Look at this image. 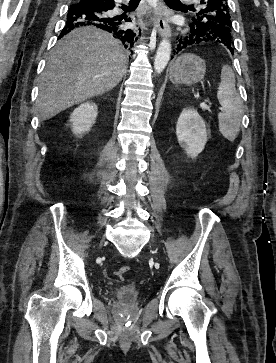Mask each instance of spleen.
I'll return each mask as SVG.
<instances>
[{"instance_id": "3e777b00", "label": "spleen", "mask_w": 276, "mask_h": 363, "mask_svg": "<svg viewBox=\"0 0 276 363\" xmlns=\"http://www.w3.org/2000/svg\"><path fill=\"white\" fill-rule=\"evenodd\" d=\"M235 74L230 66L223 65L217 98L221 105L218 114L219 131L224 138L234 141L240 131L242 100L235 87Z\"/></svg>"}]
</instances>
